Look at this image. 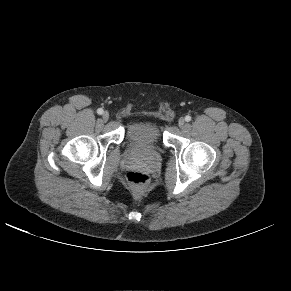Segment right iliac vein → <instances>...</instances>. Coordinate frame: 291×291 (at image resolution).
Returning a JSON list of instances; mask_svg holds the SVG:
<instances>
[{
  "instance_id": "1",
  "label": "right iliac vein",
  "mask_w": 291,
  "mask_h": 291,
  "mask_svg": "<svg viewBox=\"0 0 291 291\" xmlns=\"http://www.w3.org/2000/svg\"><path fill=\"white\" fill-rule=\"evenodd\" d=\"M102 118L103 120L106 122L108 119H109V113L107 111H105L103 114H102Z\"/></svg>"
}]
</instances>
